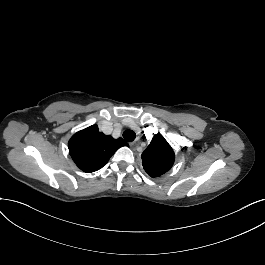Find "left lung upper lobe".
<instances>
[{
	"label": "left lung upper lobe",
	"mask_w": 265,
	"mask_h": 265,
	"mask_svg": "<svg viewBox=\"0 0 265 265\" xmlns=\"http://www.w3.org/2000/svg\"><path fill=\"white\" fill-rule=\"evenodd\" d=\"M142 165L152 178L159 177L171 169L174 163V151L165 138L157 134L141 155Z\"/></svg>",
	"instance_id": "5c2ea615"
}]
</instances>
